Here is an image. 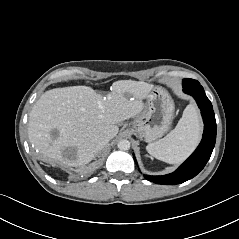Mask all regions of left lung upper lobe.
Wrapping results in <instances>:
<instances>
[{
	"instance_id": "left-lung-upper-lobe-1",
	"label": "left lung upper lobe",
	"mask_w": 239,
	"mask_h": 239,
	"mask_svg": "<svg viewBox=\"0 0 239 239\" xmlns=\"http://www.w3.org/2000/svg\"><path fill=\"white\" fill-rule=\"evenodd\" d=\"M183 83L184 84H190V83L196 84V83H199V82L197 80H193V79H184Z\"/></svg>"
}]
</instances>
